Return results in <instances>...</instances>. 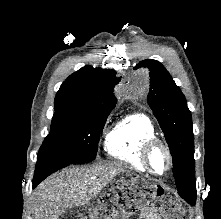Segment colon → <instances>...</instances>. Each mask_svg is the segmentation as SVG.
Listing matches in <instances>:
<instances>
[{"label":"colon","instance_id":"colon-1","mask_svg":"<svg viewBox=\"0 0 221 219\" xmlns=\"http://www.w3.org/2000/svg\"><path fill=\"white\" fill-rule=\"evenodd\" d=\"M133 184L130 182L117 185L114 192H111L101 199V205L106 208V210L110 211L113 207H115V203L117 199H125L128 191L131 190V186ZM141 192V202L139 203L137 210L146 209L150 207L157 199H150V194H152V189H139ZM159 209L168 216L170 219H176V215H174V211L170 209L168 206V202L165 199L159 200L158 202Z\"/></svg>","mask_w":221,"mask_h":219}]
</instances>
